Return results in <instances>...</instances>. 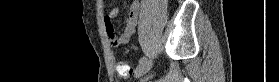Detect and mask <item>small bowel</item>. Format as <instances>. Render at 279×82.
<instances>
[{"mask_svg": "<svg viewBox=\"0 0 279 82\" xmlns=\"http://www.w3.org/2000/svg\"><path fill=\"white\" fill-rule=\"evenodd\" d=\"M119 14V8H112L105 16V29L109 43L113 47H119L129 42L135 32V27L140 14V2L135 0L131 3L126 24L123 30L117 33L113 26V19Z\"/></svg>", "mask_w": 279, "mask_h": 82, "instance_id": "c3829d8e", "label": "small bowel"}]
</instances>
